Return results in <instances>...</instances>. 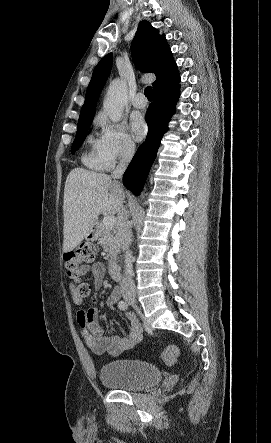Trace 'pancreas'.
Returning <instances> with one entry per match:
<instances>
[{
  "instance_id": "pancreas-1",
  "label": "pancreas",
  "mask_w": 271,
  "mask_h": 443,
  "mask_svg": "<svg viewBox=\"0 0 271 443\" xmlns=\"http://www.w3.org/2000/svg\"><path fill=\"white\" fill-rule=\"evenodd\" d=\"M99 229V239L100 243L107 251L108 259L117 255L118 251H120V243L119 237L116 231H112L109 227H104L103 223H97Z\"/></svg>"
}]
</instances>
